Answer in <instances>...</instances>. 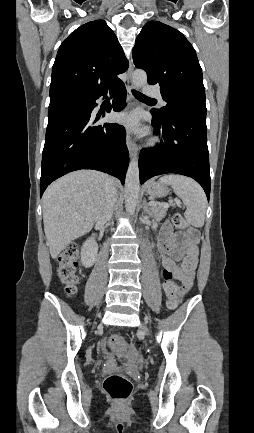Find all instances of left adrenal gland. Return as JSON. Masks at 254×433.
<instances>
[{"mask_svg": "<svg viewBox=\"0 0 254 433\" xmlns=\"http://www.w3.org/2000/svg\"><path fill=\"white\" fill-rule=\"evenodd\" d=\"M142 208H143L144 212H146L147 214L150 215V208H149L145 198L143 200Z\"/></svg>", "mask_w": 254, "mask_h": 433, "instance_id": "1", "label": "left adrenal gland"}]
</instances>
